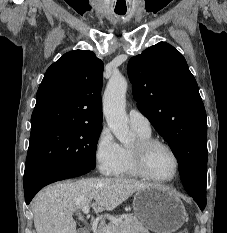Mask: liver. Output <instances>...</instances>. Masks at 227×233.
<instances>
[{"label": "liver", "mask_w": 227, "mask_h": 233, "mask_svg": "<svg viewBox=\"0 0 227 233\" xmlns=\"http://www.w3.org/2000/svg\"><path fill=\"white\" fill-rule=\"evenodd\" d=\"M153 184L125 178H86L60 182L43 189L32 201L37 233H77L75 212L91 205L95 211L113 210L135 192Z\"/></svg>", "instance_id": "obj_1"}]
</instances>
